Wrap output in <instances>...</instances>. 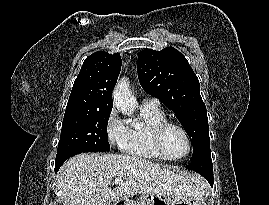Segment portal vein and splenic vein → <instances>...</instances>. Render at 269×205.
<instances>
[{
	"instance_id": "18ae733b",
	"label": "portal vein and splenic vein",
	"mask_w": 269,
	"mask_h": 205,
	"mask_svg": "<svg viewBox=\"0 0 269 205\" xmlns=\"http://www.w3.org/2000/svg\"><path fill=\"white\" fill-rule=\"evenodd\" d=\"M121 182H122V179H121V178H116V179H114V181H113L114 184H119V183H121Z\"/></svg>"
}]
</instances>
